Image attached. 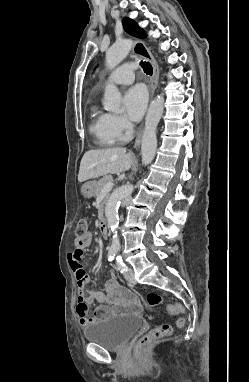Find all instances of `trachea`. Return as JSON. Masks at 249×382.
<instances>
[{
  "label": "trachea",
  "mask_w": 249,
  "mask_h": 382,
  "mask_svg": "<svg viewBox=\"0 0 249 382\" xmlns=\"http://www.w3.org/2000/svg\"><path fill=\"white\" fill-rule=\"evenodd\" d=\"M142 68H143V71L147 74V75H152L153 73V68L151 66V64L149 62H141L140 63Z\"/></svg>",
  "instance_id": "1"
}]
</instances>
